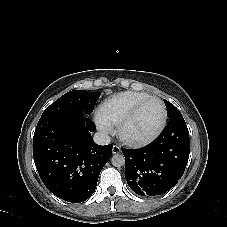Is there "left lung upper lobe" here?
<instances>
[{
    "label": "left lung upper lobe",
    "instance_id": "left-lung-upper-lobe-1",
    "mask_svg": "<svg viewBox=\"0 0 227 227\" xmlns=\"http://www.w3.org/2000/svg\"><path fill=\"white\" fill-rule=\"evenodd\" d=\"M164 103L166 105L167 108V116L168 118H172L176 115H178L180 112L177 110L176 107H174L170 102H168L167 100L164 99Z\"/></svg>",
    "mask_w": 227,
    "mask_h": 227
}]
</instances>
